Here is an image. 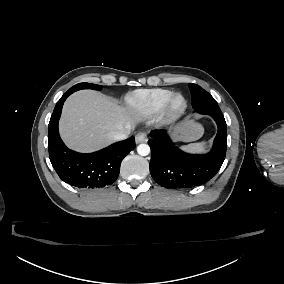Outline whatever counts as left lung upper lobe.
<instances>
[{"instance_id":"5c2ea615","label":"left lung upper lobe","mask_w":284,"mask_h":284,"mask_svg":"<svg viewBox=\"0 0 284 284\" xmlns=\"http://www.w3.org/2000/svg\"><path fill=\"white\" fill-rule=\"evenodd\" d=\"M189 88L192 95V107H198L205 104H217L215 99L203 88L197 84L189 83Z\"/></svg>"}]
</instances>
